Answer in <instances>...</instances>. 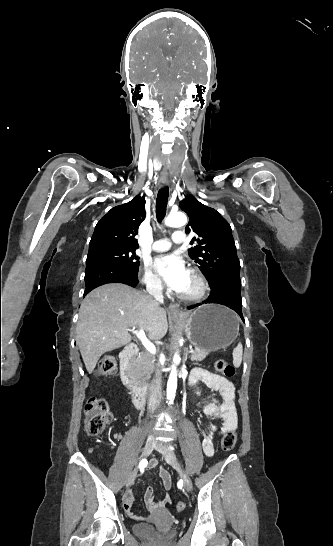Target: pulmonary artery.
I'll list each match as a JSON object with an SVG mask.
<instances>
[{
    "mask_svg": "<svg viewBox=\"0 0 333 546\" xmlns=\"http://www.w3.org/2000/svg\"><path fill=\"white\" fill-rule=\"evenodd\" d=\"M186 240V235L183 231H175L172 236V241L177 244L184 243ZM171 242L168 239H160L154 241L152 244V250L155 252H164L170 249Z\"/></svg>",
    "mask_w": 333,
    "mask_h": 546,
    "instance_id": "pulmonary-artery-1",
    "label": "pulmonary artery"
}]
</instances>
